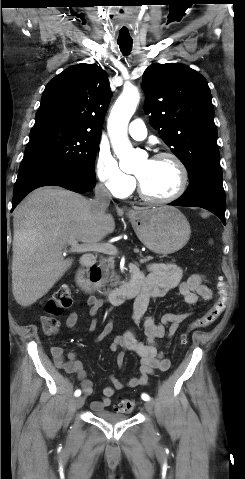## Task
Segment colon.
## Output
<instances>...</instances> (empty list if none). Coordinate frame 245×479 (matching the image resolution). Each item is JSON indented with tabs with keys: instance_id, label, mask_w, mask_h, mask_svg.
Here are the masks:
<instances>
[{
	"instance_id": "1",
	"label": "colon",
	"mask_w": 245,
	"mask_h": 479,
	"mask_svg": "<svg viewBox=\"0 0 245 479\" xmlns=\"http://www.w3.org/2000/svg\"><path fill=\"white\" fill-rule=\"evenodd\" d=\"M228 299V293L224 284L218 286V297L209 310L202 316L194 319L188 325L186 331L180 335V342L185 344L188 340L189 333L196 329L206 328L213 324L225 309ZM73 302L72 292L67 285L60 286L51 298L44 305L45 315L41 317V325L45 334H55L59 329L58 317ZM135 402L129 399H121L116 405V409L122 413H130L135 409Z\"/></svg>"
}]
</instances>
